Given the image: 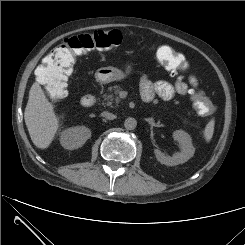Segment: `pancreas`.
<instances>
[{
    "instance_id": "obj_1",
    "label": "pancreas",
    "mask_w": 245,
    "mask_h": 245,
    "mask_svg": "<svg viewBox=\"0 0 245 245\" xmlns=\"http://www.w3.org/2000/svg\"><path fill=\"white\" fill-rule=\"evenodd\" d=\"M120 90H121L120 86H117V85L108 87L109 93H105L103 95L102 105L112 107L113 103L118 104L119 103V97L117 95L120 92Z\"/></svg>"
}]
</instances>
